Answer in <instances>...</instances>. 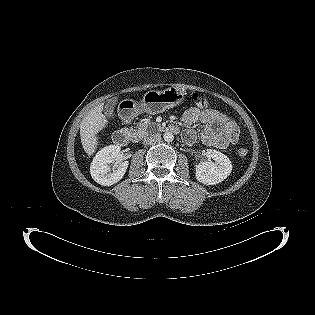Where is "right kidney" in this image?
<instances>
[{
    "instance_id": "1",
    "label": "right kidney",
    "mask_w": 315,
    "mask_h": 315,
    "mask_svg": "<svg viewBox=\"0 0 315 315\" xmlns=\"http://www.w3.org/2000/svg\"><path fill=\"white\" fill-rule=\"evenodd\" d=\"M120 146L109 145L102 148L94 157L90 173L94 181L103 186H110L119 182L129 165L128 161L117 160ZM114 164L113 167L110 164Z\"/></svg>"
}]
</instances>
